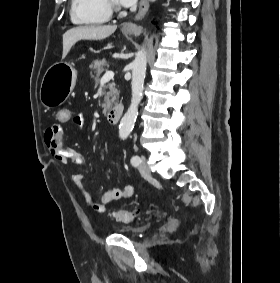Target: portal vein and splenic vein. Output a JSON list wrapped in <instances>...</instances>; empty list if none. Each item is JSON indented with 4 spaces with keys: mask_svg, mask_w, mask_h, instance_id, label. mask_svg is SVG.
Instances as JSON below:
<instances>
[{
    "mask_svg": "<svg viewBox=\"0 0 280 283\" xmlns=\"http://www.w3.org/2000/svg\"><path fill=\"white\" fill-rule=\"evenodd\" d=\"M113 77H114V72L107 70L101 78V83H106L109 80L113 79Z\"/></svg>",
    "mask_w": 280,
    "mask_h": 283,
    "instance_id": "portal-vein-and-splenic-vein-1",
    "label": "portal vein and splenic vein"
}]
</instances>
